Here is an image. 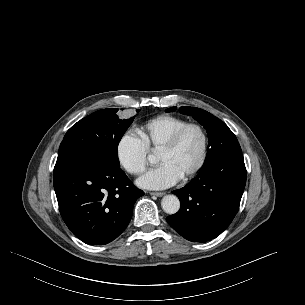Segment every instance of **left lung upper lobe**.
<instances>
[{
  "label": "left lung upper lobe",
  "instance_id": "left-lung-upper-lobe-1",
  "mask_svg": "<svg viewBox=\"0 0 305 305\" xmlns=\"http://www.w3.org/2000/svg\"><path fill=\"white\" fill-rule=\"evenodd\" d=\"M176 107L167 109V112L175 111ZM179 111L191 115L206 129L208 134V149L202 169H205L218 160L237 152H242L239 142L228 126L212 114L196 107L184 106Z\"/></svg>",
  "mask_w": 305,
  "mask_h": 305
}]
</instances>
